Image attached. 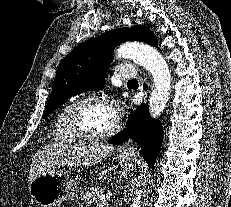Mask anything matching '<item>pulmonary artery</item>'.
<instances>
[{
	"label": "pulmonary artery",
	"instance_id": "pulmonary-artery-1",
	"mask_svg": "<svg viewBox=\"0 0 231 207\" xmlns=\"http://www.w3.org/2000/svg\"><path fill=\"white\" fill-rule=\"evenodd\" d=\"M115 75L120 80H134L137 77V72L131 65H120L117 67Z\"/></svg>",
	"mask_w": 231,
	"mask_h": 207
}]
</instances>
